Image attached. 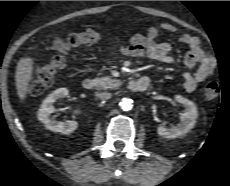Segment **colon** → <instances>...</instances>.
Wrapping results in <instances>:
<instances>
[{
    "label": "colon",
    "mask_w": 230,
    "mask_h": 186,
    "mask_svg": "<svg viewBox=\"0 0 230 186\" xmlns=\"http://www.w3.org/2000/svg\"><path fill=\"white\" fill-rule=\"evenodd\" d=\"M101 33L93 29H84L80 32L70 35L65 47L88 46L101 40ZM65 58L62 54H54L48 63L38 66L33 70L29 85V92L32 96H40L44 90L51 85L55 72L63 68ZM220 92V85L217 81H210L205 85L204 96L208 101L215 100Z\"/></svg>",
    "instance_id": "1"
}]
</instances>
